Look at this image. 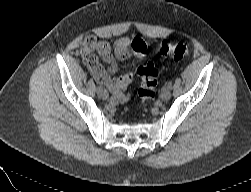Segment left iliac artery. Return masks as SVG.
<instances>
[{"mask_svg": "<svg viewBox=\"0 0 251 192\" xmlns=\"http://www.w3.org/2000/svg\"><path fill=\"white\" fill-rule=\"evenodd\" d=\"M168 88L172 89V81H169L166 85Z\"/></svg>", "mask_w": 251, "mask_h": 192, "instance_id": "obj_1", "label": "left iliac artery"}]
</instances>
